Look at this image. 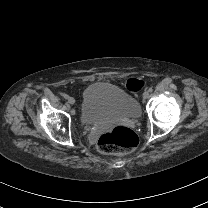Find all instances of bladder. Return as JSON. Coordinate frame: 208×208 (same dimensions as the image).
<instances>
[{"mask_svg": "<svg viewBox=\"0 0 208 208\" xmlns=\"http://www.w3.org/2000/svg\"><path fill=\"white\" fill-rule=\"evenodd\" d=\"M140 109L136 99L119 87L104 82L89 84L82 97V119H137Z\"/></svg>", "mask_w": 208, "mask_h": 208, "instance_id": "1", "label": "bladder"}]
</instances>
